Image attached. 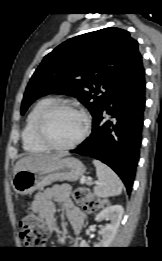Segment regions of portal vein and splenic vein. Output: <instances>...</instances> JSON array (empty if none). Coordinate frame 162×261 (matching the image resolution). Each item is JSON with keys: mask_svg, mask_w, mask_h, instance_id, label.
I'll return each mask as SVG.
<instances>
[{"mask_svg": "<svg viewBox=\"0 0 162 261\" xmlns=\"http://www.w3.org/2000/svg\"><path fill=\"white\" fill-rule=\"evenodd\" d=\"M85 181H86V177L83 176V177L81 178L80 182H81V184H83ZM89 181L91 182V179H89Z\"/></svg>", "mask_w": 162, "mask_h": 261, "instance_id": "portal-vein-and-splenic-vein-1", "label": "portal vein and splenic vein"}]
</instances>
